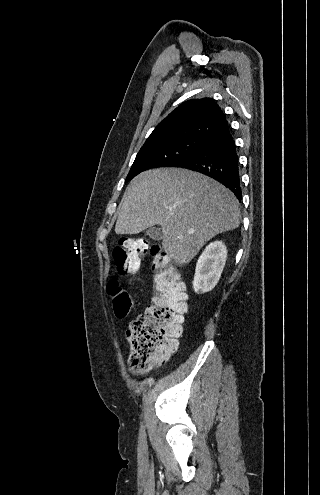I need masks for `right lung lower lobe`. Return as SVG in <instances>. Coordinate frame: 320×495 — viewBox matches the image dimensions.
Masks as SVG:
<instances>
[{
	"instance_id": "1",
	"label": "right lung lower lobe",
	"mask_w": 320,
	"mask_h": 495,
	"mask_svg": "<svg viewBox=\"0 0 320 495\" xmlns=\"http://www.w3.org/2000/svg\"><path fill=\"white\" fill-rule=\"evenodd\" d=\"M175 167L187 168L214 178L228 187L241 201L237 147L229 126L208 137L196 153Z\"/></svg>"
}]
</instances>
